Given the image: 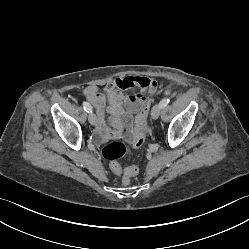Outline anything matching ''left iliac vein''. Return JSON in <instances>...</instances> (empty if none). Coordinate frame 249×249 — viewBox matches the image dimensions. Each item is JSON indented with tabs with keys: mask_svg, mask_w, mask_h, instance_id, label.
Here are the masks:
<instances>
[{
	"mask_svg": "<svg viewBox=\"0 0 249 249\" xmlns=\"http://www.w3.org/2000/svg\"><path fill=\"white\" fill-rule=\"evenodd\" d=\"M160 112H161V107L159 104L155 105L151 111V117L152 119H157L160 115Z\"/></svg>",
	"mask_w": 249,
	"mask_h": 249,
	"instance_id": "4c4485c4",
	"label": "left iliac vein"
}]
</instances>
